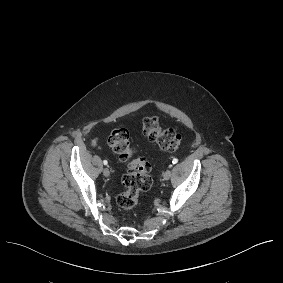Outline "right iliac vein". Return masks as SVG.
Instances as JSON below:
<instances>
[{
	"label": "right iliac vein",
	"instance_id": "obj_1",
	"mask_svg": "<svg viewBox=\"0 0 283 283\" xmlns=\"http://www.w3.org/2000/svg\"><path fill=\"white\" fill-rule=\"evenodd\" d=\"M103 175H104L105 177H108V176L110 175V171H109L108 168H104V169H103Z\"/></svg>",
	"mask_w": 283,
	"mask_h": 283
}]
</instances>
